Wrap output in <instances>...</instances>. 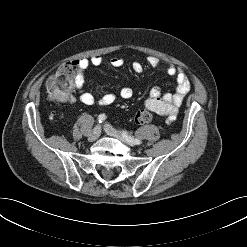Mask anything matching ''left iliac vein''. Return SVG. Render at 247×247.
Instances as JSON below:
<instances>
[{
	"label": "left iliac vein",
	"instance_id": "1",
	"mask_svg": "<svg viewBox=\"0 0 247 247\" xmlns=\"http://www.w3.org/2000/svg\"><path fill=\"white\" fill-rule=\"evenodd\" d=\"M104 130L110 136H113V137H115V138H117V139H119V140H121L123 142H126L129 145H131V146L135 145V144L127 141V139L118 130H116L115 128H113L110 124H107L106 123L104 125Z\"/></svg>",
	"mask_w": 247,
	"mask_h": 247
}]
</instances>
